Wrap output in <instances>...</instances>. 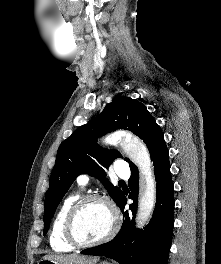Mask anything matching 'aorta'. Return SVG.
Wrapping results in <instances>:
<instances>
[{"instance_id":"aorta-1","label":"aorta","mask_w":221,"mask_h":264,"mask_svg":"<svg viewBox=\"0 0 221 264\" xmlns=\"http://www.w3.org/2000/svg\"><path fill=\"white\" fill-rule=\"evenodd\" d=\"M106 144H120L123 152L138 166L140 170L139 200L136 214V226H145L155 207L156 182L152 172V162L146 146L131 135H111L104 139Z\"/></svg>"}]
</instances>
